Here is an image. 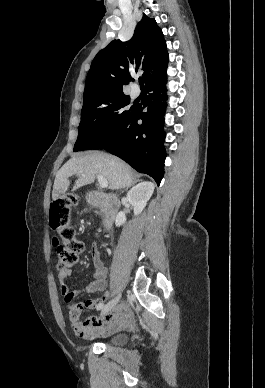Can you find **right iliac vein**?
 <instances>
[{
    "instance_id": "63e3f726",
    "label": "right iliac vein",
    "mask_w": 265,
    "mask_h": 388,
    "mask_svg": "<svg viewBox=\"0 0 265 388\" xmlns=\"http://www.w3.org/2000/svg\"><path fill=\"white\" fill-rule=\"evenodd\" d=\"M120 297L121 295L119 294L116 297H114L111 301H109L102 309L100 316L101 317L105 316L112 308H114L116 304L119 302Z\"/></svg>"
}]
</instances>
